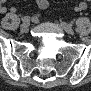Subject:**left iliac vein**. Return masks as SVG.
Instances as JSON below:
<instances>
[{
    "label": "left iliac vein",
    "mask_w": 91,
    "mask_h": 91,
    "mask_svg": "<svg viewBox=\"0 0 91 91\" xmlns=\"http://www.w3.org/2000/svg\"><path fill=\"white\" fill-rule=\"evenodd\" d=\"M61 27H62V29H63L66 33H68V34H70V35L74 34L73 28H69V27L67 26V23L61 22Z\"/></svg>",
    "instance_id": "1"
}]
</instances>
